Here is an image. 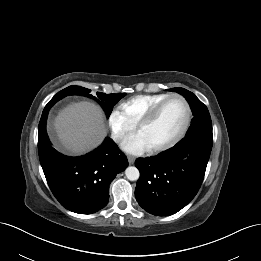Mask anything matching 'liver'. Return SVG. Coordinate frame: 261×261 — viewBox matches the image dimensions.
<instances>
[{
	"instance_id": "liver-1",
	"label": "liver",
	"mask_w": 261,
	"mask_h": 261,
	"mask_svg": "<svg viewBox=\"0 0 261 261\" xmlns=\"http://www.w3.org/2000/svg\"><path fill=\"white\" fill-rule=\"evenodd\" d=\"M54 127L62 145L76 155L96 148L107 134L101 109L85 101L60 111Z\"/></svg>"
}]
</instances>
